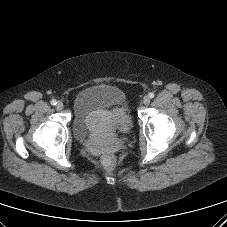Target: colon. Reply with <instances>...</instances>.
<instances>
[{"mask_svg": "<svg viewBox=\"0 0 227 227\" xmlns=\"http://www.w3.org/2000/svg\"><path fill=\"white\" fill-rule=\"evenodd\" d=\"M102 164L107 169H112L115 166V156L111 151H106L104 153Z\"/></svg>", "mask_w": 227, "mask_h": 227, "instance_id": "obj_1", "label": "colon"}]
</instances>
